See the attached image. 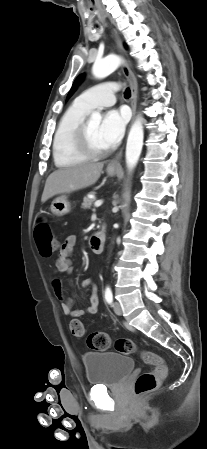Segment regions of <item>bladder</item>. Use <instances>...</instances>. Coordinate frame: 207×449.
<instances>
[{
	"label": "bladder",
	"mask_w": 207,
	"mask_h": 449,
	"mask_svg": "<svg viewBox=\"0 0 207 449\" xmlns=\"http://www.w3.org/2000/svg\"><path fill=\"white\" fill-rule=\"evenodd\" d=\"M83 364L90 386L115 387L134 370V359L118 352H86Z\"/></svg>",
	"instance_id": "bladder-1"
}]
</instances>
